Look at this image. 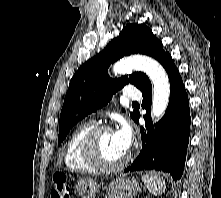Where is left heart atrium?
<instances>
[{
	"mask_svg": "<svg viewBox=\"0 0 221 198\" xmlns=\"http://www.w3.org/2000/svg\"><path fill=\"white\" fill-rule=\"evenodd\" d=\"M113 134L120 148L127 152L132 142V130L130 126L127 123L122 122Z\"/></svg>",
	"mask_w": 221,
	"mask_h": 198,
	"instance_id": "left-heart-atrium-1",
	"label": "left heart atrium"
}]
</instances>
